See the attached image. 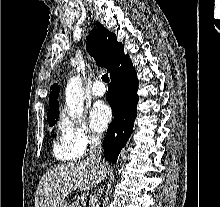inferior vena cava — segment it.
<instances>
[{"mask_svg":"<svg viewBox=\"0 0 220 207\" xmlns=\"http://www.w3.org/2000/svg\"><path fill=\"white\" fill-rule=\"evenodd\" d=\"M90 143V151L87 161L96 165L97 167L103 168L104 166L101 163V136L98 134L92 135L90 138Z\"/></svg>","mask_w":220,"mask_h":207,"instance_id":"602c4592","label":"inferior vena cava"}]
</instances>
